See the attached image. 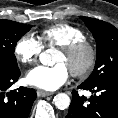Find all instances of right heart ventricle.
I'll return each instance as SVG.
<instances>
[{"instance_id":"obj_1","label":"right heart ventricle","mask_w":118,"mask_h":118,"mask_svg":"<svg viewBox=\"0 0 118 118\" xmlns=\"http://www.w3.org/2000/svg\"><path fill=\"white\" fill-rule=\"evenodd\" d=\"M84 38L81 28L65 22L49 25L39 34V41L45 47H60Z\"/></svg>"}]
</instances>
